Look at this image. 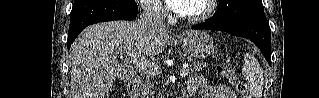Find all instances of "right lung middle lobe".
<instances>
[{
  "label": "right lung middle lobe",
  "mask_w": 319,
  "mask_h": 98,
  "mask_svg": "<svg viewBox=\"0 0 319 98\" xmlns=\"http://www.w3.org/2000/svg\"><path fill=\"white\" fill-rule=\"evenodd\" d=\"M80 1H83V0H74V3H75V2H80ZM125 2L134 3L135 0H125Z\"/></svg>",
  "instance_id": "1"
}]
</instances>
